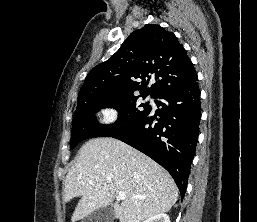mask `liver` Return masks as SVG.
<instances>
[{"instance_id": "1", "label": "liver", "mask_w": 257, "mask_h": 222, "mask_svg": "<svg viewBox=\"0 0 257 222\" xmlns=\"http://www.w3.org/2000/svg\"><path fill=\"white\" fill-rule=\"evenodd\" d=\"M64 201L81 197L72 222L109 206L123 191L126 198L114 203L120 222H142L168 212L178 199L170 174L148 156L113 138L86 142L65 179ZM140 196V199H134ZM118 199V197H117Z\"/></svg>"}]
</instances>
